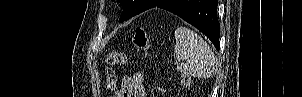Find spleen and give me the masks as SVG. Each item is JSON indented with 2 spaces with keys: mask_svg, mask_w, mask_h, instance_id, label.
Listing matches in <instances>:
<instances>
[{
  "mask_svg": "<svg viewBox=\"0 0 302 97\" xmlns=\"http://www.w3.org/2000/svg\"><path fill=\"white\" fill-rule=\"evenodd\" d=\"M174 56L182 60L177 70L187 76L210 78L216 73L217 60L210 46L197 33L187 27L175 30Z\"/></svg>",
  "mask_w": 302,
  "mask_h": 97,
  "instance_id": "1",
  "label": "spleen"
}]
</instances>
